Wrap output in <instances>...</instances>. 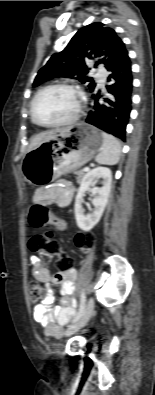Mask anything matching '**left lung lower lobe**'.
<instances>
[{"label": "left lung lower lobe", "mask_w": 155, "mask_h": 395, "mask_svg": "<svg viewBox=\"0 0 155 395\" xmlns=\"http://www.w3.org/2000/svg\"><path fill=\"white\" fill-rule=\"evenodd\" d=\"M108 71L111 74L107 78L109 84L106 88L111 97H105L101 95L100 91H95L92 95L93 108L88 113L86 122L125 141L126 126L131 112L133 88L129 56H125L116 66ZM100 98H103L105 104L99 103Z\"/></svg>", "instance_id": "obj_1"}]
</instances>
